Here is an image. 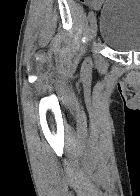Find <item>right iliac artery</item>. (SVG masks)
Here are the masks:
<instances>
[{
  "instance_id": "82829eb1",
  "label": "right iliac artery",
  "mask_w": 140,
  "mask_h": 196,
  "mask_svg": "<svg viewBox=\"0 0 140 196\" xmlns=\"http://www.w3.org/2000/svg\"><path fill=\"white\" fill-rule=\"evenodd\" d=\"M93 15H94L93 11H90L89 14H88L89 20L93 17Z\"/></svg>"
}]
</instances>
